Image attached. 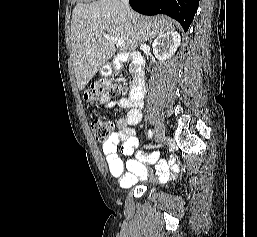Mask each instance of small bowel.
<instances>
[{"label":"small bowel","mask_w":257,"mask_h":237,"mask_svg":"<svg viewBox=\"0 0 257 237\" xmlns=\"http://www.w3.org/2000/svg\"><path fill=\"white\" fill-rule=\"evenodd\" d=\"M107 107H120L127 110L125 117L117 120V132L112 133L111 138L102 145L107 167L112 176L118 179L120 186L131 187L138 180L147 178L148 169L143 162H157L156 176L166 181L178 172V166L170 164L165 159H158L156 154L150 158L146 157L140 150H137L138 139L132 126L140 123L142 119L143 102L134 101L128 97H121L107 104ZM120 150L124 156H131L135 153L136 159H129L124 162L118 155Z\"/></svg>","instance_id":"c3829d8e"}]
</instances>
